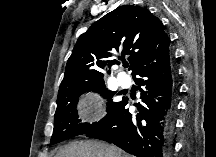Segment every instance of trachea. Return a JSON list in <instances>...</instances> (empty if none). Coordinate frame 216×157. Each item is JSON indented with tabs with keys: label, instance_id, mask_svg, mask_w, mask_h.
Instances as JSON below:
<instances>
[{
	"label": "trachea",
	"instance_id": "1",
	"mask_svg": "<svg viewBox=\"0 0 216 157\" xmlns=\"http://www.w3.org/2000/svg\"><path fill=\"white\" fill-rule=\"evenodd\" d=\"M123 66H124L125 68H128V66H129L128 62H123Z\"/></svg>",
	"mask_w": 216,
	"mask_h": 157
}]
</instances>
